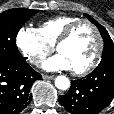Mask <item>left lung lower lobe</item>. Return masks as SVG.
<instances>
[{
  "label": "left lung lower lobe",
  "instance_id": "0a47b994",
  "mask_svg": "<svg viewBox=\"0 0 114 114\" xmlns=\"http://www.w3.org/2000/svg\"><path fill=\"white\" fill-rule=\"evenodd\" d=\"M114 96V64L98 66L81 80L72 81L59 102L72 114H97Z\"/></svg>",
  "mask_w": 114,
  "mask_h": 114
}]
</instances>
